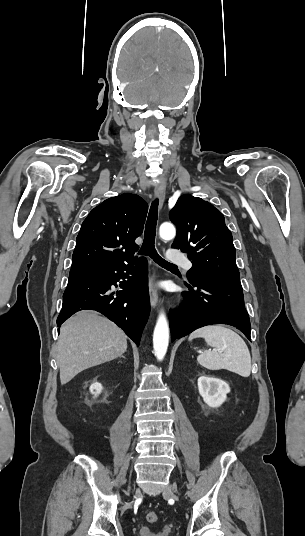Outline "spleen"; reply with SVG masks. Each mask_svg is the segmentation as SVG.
<instances>
[{
  "label": "spleen",
  "instance_id": "obj_1",
  "mask_svg": "<svg viewBox=\"0 0 305 536\" xmlns=\"http://www.w3.org/2000/svg\"><path fill=\"white\" fill-rule=\"evenodd\" d=\"M194 338H204L208 346L219 348L222 352H210L205 350L197 358L200 366L207 370H229L243 378L251 374L250 352L242 338L233 330L225 328L222 324L217 326H205L192 332L189 342Z\"/></svg>",
  "mask_w": 305,
  "mask_h": 536
}]
</instances>
